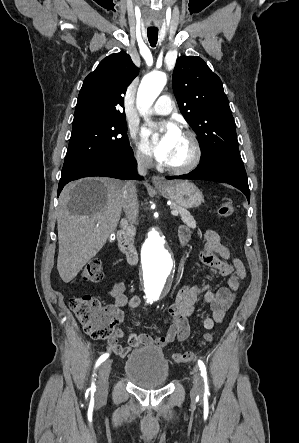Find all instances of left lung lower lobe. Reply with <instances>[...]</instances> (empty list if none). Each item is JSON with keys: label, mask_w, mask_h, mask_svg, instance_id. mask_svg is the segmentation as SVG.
Instances as JSON below:
<instances>
[{"label": "left lung lower lobe", "mask_w": 299, "mask_h": 443, "mask_svg": "<svg viewBox=\"0 0 299 443\" xmlns=\"http://www.w3.org/2000/svg\"><path fill=\"white\" fill-rule=\"evenodd\" d=\"M167 179H194L210 180L228 183L241 190L248 202H250V191L247 174L242 160L230 157H216L200 162L199 166L192 172L181 176H167Z\"/></svg>", "instance_id": "obj_1"}]
</instances>
